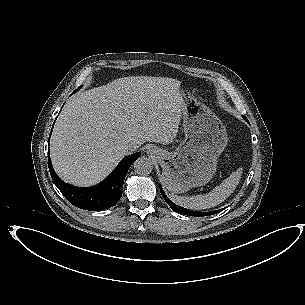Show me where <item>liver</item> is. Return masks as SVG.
I'll return each instance as SVG.
<instances>
[{"mask_svg":"<svg viewBox=\"0 0 305 305\" xmlns=\"http://www.w3.org/2000/svg\"><path fill=\"white\" fill-rule=\"evenodd\" d=\"M178 93L180 82L164 79L158 85ZM146 85L124 77L71 98L56 121L50 156L65 182L92 186L105 179L129 153L126 142L171 143L177 135L180 110H157Z\"/></svg>","mask_w":305,"mask_h":305,"instance_id":"1","label":"liver"}]
</instances>
